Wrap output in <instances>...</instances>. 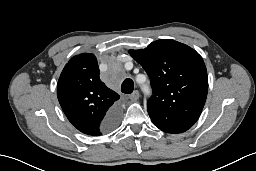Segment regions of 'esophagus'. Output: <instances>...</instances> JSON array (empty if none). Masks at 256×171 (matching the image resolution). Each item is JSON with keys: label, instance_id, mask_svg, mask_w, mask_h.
I'll use <instances>...</instances> for the list:
<instances>
[{"label": "esophagus", "instance_id": "obj_1", "mask_svg": "<svg viewBox=\"0 0 256 171\" xmlns=\"http://www.w3.org/2000/svg\"><path fill=\"white\" fill-rule=\"evenodd\" d=\"M139 92L136 90L134 91L132 94H130L129 98L132 100V101H136L139 99Z\"/></svg>", "mask_w": 256, "mask_h": 171}]
</instances>
